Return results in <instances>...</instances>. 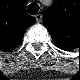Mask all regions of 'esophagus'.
Listing matches in <instances>:
<instances>
[{"instance_id":"1","label":"esophagus","mask_w":80,"mask_h":80,"mask_svg":"<svg viewBox=\"0 0 80 80\" xmlns=\"http://www.w3.org/2000/svg\"><path fill=\"white\" fill-rule=\"evenodd\" d=\"M35 18H36V22H37V23H40V22L42 21V15H41V14H37V15L35 16Z\"/></svg>"}]
</instances>
